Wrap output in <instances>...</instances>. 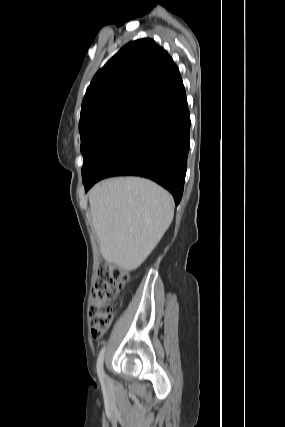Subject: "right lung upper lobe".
Listing matches in <instances>:
<instances>
[{"mask_svg": "<svg viewBox=\"0 0 285 427\" xmlns=\"http://www.w3.org/2000/svg\"><path fill=\"white\" fill-rule=\"evenodd\" d=\"M179 80L174 61L153 39L132 41L93 77L82 102L79 128L124 107H145Z\"/></svg>", "mask_w": 285, "mask_h": 427, "instance_id": "obj_1", "label": "right lung upper lobe"}]
</instances>
